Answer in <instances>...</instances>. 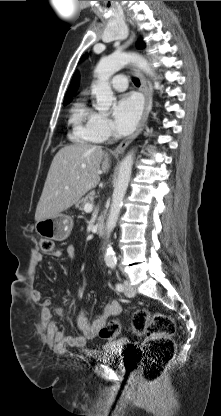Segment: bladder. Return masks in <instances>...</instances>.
Here are the masks:
<instances>
[{
    "label": "bladder",
    "instance_id": "31cf9c89",
    "mask_svg": "<svg viewBox=\"0 0 221 416\" xmlns=\"http://www.w3.org/2000/svg\"><path fill=\"white\" fill-rule=\"evenodd\" d=\"M113 357H114V354H113L112 351H110V347L108 345H104V347H103V355H102L101 361L104 364L113 365V360H112ZM115 366L117 368H123L120 365H115Z\"/></svg>",
    "mask_w": 221,
    "mask_h": 416
}]
</instances>
